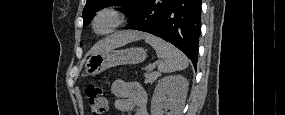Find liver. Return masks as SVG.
Listing matches in <instances>:
<instances>
[{"instance_id": "6515ba94", "label": "liver", "mask_w": 285, "mask_h": 115, "mask_svg": "<svg viewBox=\"0 0 285 115\" xmlns=\"http://www.w3.org/2000/svg\"><path fill=\"white\" fill-rule=\"evenodd\" d=\"M147 36L148 35L146 33L137 32V31L118 32L116 34L107 37L104 41H102L95 49V53L108 52L114 48L124 46L130 42L144 39Z\"/></svg>"}]
</instances>
